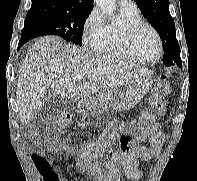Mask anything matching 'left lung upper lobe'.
Instances as JSON below:
<instances>
[{
    "label": "left lung upper lobe",
    "instance_id": "obj_1",
    "mask_svg": "<svg viewBox=\"0 0 197 181\" xmlns=\"http://www.w3.org/2000/svg\"><path fill=\"white\" fill-rule=\"evenodd\" d=\"M143 16L159 33L163 48V63L181 67L180 47L176 39L175 23L169 12V0H135Z\"/></svg>",
    "mask_w": 197,
    "mask_h": 181
}]
</instances>
